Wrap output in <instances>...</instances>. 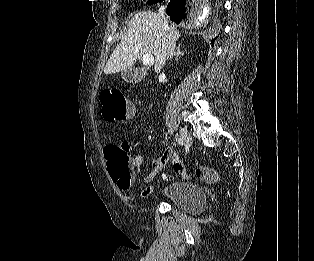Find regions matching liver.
<instances>
[{
	"mask_svg": "<svg viewBox=\"0 0 314 261\" xmlns=\"http://www.w3.org/2000/svg\"><path fill=\"white\" fill-rule=\"evenodd\" d=\"M170 31L173 38L179 39L176 29L164 27L163 18L152 11H141L131 18L128 30L111 54L104 73L106 75L131 69L145 53L154 55V71L160 73L166 63V40Z\"/></svg>",
	"mask_w": 314,
	"mask_h": 261,
	"instance_id": "6515ba94",
	"label": "liver"
}]
</instances>
